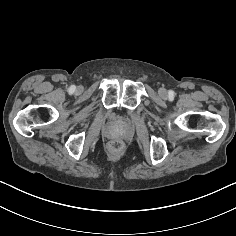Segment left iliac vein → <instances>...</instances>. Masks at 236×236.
I'll list each match as a JSON object with an SVG mask.
<instances>
[{"label":"left iliac vein","mask_w":236,"mask_h":236,"mask_svg":"<svg viewBox=\"0 0 236 236\" xmlns=\"http://www.w3.org/2000/svg\"><path fill=\"white\" fill-rule=\"evenodd\" d=\"M158 94L161 96V97H166L167 96V91L165 88L161 87L159 88L158 90Z\"/></svg>","instance_id":"1"}]
</instances>
